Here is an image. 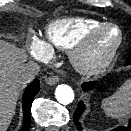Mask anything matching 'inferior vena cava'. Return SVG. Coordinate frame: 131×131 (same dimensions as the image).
Wrapping results in <instances>:
<instances>
[{
	"mask_svg": "<svg viewBox=\"0 0 131 131\" xmlns=\"http://www.w3.org/2000/svg\"><path fill=\"white\" fill-rule=\"evenodd\" d=\"M40 66L37 63L29 62L24 64V66L17 73V80L21 84H26L33 80V78L39 73Z\"/></svg>",
	"mask_w": 131,
	"mask_h": 131,
	"instance_id": "obj_1",
	"label": "inferior vena cava"
}]
</instances>
